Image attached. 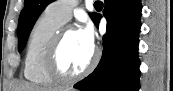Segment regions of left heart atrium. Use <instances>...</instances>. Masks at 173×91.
<instances>
[{
    "instance_id": "1",
    "label": "left heart atrium",
    "mask_w": 173,
    "mask_h": 91,
    "mask_svg": "<svg viewBox=\"0 0 173 91\" xmlns=\"http://www.w3.org/2000/svg\"><path fill=\"white\" fill-rule=\"evenodd\" d=\"M82 41L90 48L94 47V32L90 24L85 25L79 31Z\"/></svg>"
}]
</instances>
